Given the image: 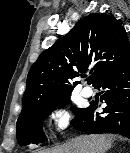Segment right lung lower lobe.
Segmentation results:
<instances>
[{"instance_id": "98d812e1", "label": "right lung lower lobe", "mask_w": 130, "mask_h": 153, "mask_svg": "<svg viewBox=\"0 0 130 153\" xmlns=\"http://www.w3.org/2000/svg\"><path fill=\"white\" fill-rule=\"evenodd\" d=\"M94 87L104 89L101 101L106 107L99 114L97 103L90 102L72 122L73 127L87 134L119 133L130 138V58L102 75Z\"/></svg>"}]
</instances>
